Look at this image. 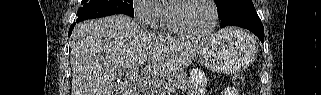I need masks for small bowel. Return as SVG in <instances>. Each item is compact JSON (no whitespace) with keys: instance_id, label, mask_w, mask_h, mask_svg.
<instances>
[{"instance_id":"obj_1","label":"small bowel","mask_w":321,"mask_h":95,"mask_svg":"<svg viewBox=\"0 0 321 95\" xmlns=\"http://www.w3.org/2000/svg\"><path fill=\"white\" fill-rule=\"evenodd\" d=\"M221 95H238V91L233 87H227L221 92Z\"/></svg>"}]
</instances>
